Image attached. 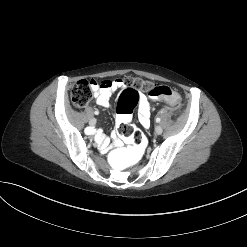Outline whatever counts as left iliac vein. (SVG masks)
Masks as SVG:
<instances>
[{
	"instance_id": "left-iliac-vein-1",
	"label": "left iliac vein",
	"mask_w": 247,
	"mask_h": 247,
	"mask_svg": "<svg viewBox=\"0 0 247 247\" xmlns=\"http://www.w3.org/2000/svg\"><path fill=\"white\" fill-rule=\"evenodd\" d=\"M162 132H163L162 127L159 126V125H157V126L155 127V133L158 134V135H160Z\"/></svg>"
}]
</instances>
